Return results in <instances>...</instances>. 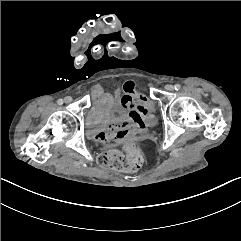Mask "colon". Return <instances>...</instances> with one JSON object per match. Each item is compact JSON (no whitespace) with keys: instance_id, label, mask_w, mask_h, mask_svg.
<instances>
[{"instance_id":"colon-1","label":"colon","mask_w":241,"mask_h":241,"mask_svg":"<svg viewBox=\"0 0 241 241\" xmlns=\"http://www.w3.org/2000/svg\"><path fill=\"white\" fill-rule=\"evenodd\" d=\"M96 162L101 168L130 170L141 167L143 161L138 149L128 144L125 151L110 149L100 153Z\"/></svg>"}]
</instances>
